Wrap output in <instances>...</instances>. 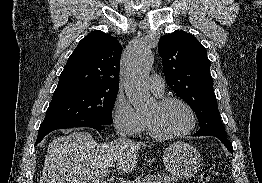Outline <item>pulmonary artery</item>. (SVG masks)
Segmentation results:
<instances>
[{"instance_id":"obj_1","label":"pulmonary artery","mask_w":262,"mask_h":183,"mask_svg":"<svg viewBox=\"0 0 262 183\" xmlns=\"http://www.w3.org/2000/svg\"><path fill=\"white\" fill-rule=\"evenodd\" d=\"M148 85L150 90L158 97L162 96L164 93V80L157 74H153L148 79Z\"/></svg>"}]
</instances>
